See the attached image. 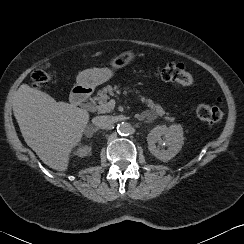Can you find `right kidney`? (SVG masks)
I'll list each match as a JSON object with an SVG mask.
<instances>
[{
	"instance_id": "right-kidney-1",
	"label": "right kidney",
	"mask_w": 244,
	"mask_h": 244,
	"mask_svg": "<svg viewBox=\"0 0 244 244\" xmlns=\"http://www.w3.org/2000/svg\"><path fill=\"white\" fill-rule=\"evenodd\" d=\"M91 146L89 145H81L77 148L75 155L83 158L91 154Z\"/></svg>"
}]
</instances>
